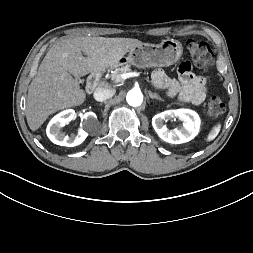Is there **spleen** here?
<instances>
[{
    "instance_id": "obj_1",
    "label": "spleen",
    "mask_w": 253,
    "mask_h": 253,
    "mask_svg": "<svg viewBox=\"0 0 253 253\" xmlns=\"http://www.w3.org/2000/svg\"><path fill=\"white\" fill-rule=\"evenodd\" d=\"M220 129H221V124H217V125L213 126L207 136V141L214 140L216 138V136L219 134Z\"/></svg>"
}]
</instances>
